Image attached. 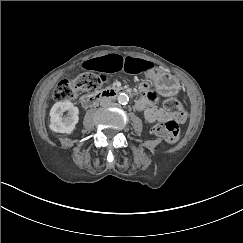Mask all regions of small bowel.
Returning a JSON list of instances; mask_svg holds the SVG:
<instances>
[{
  "instance_id": "small-bowel-1",
  "label": "small bowel",
  "mask_w": 243,
  "mask_h": 243,
  "mask_svg": "<svg viewBox=\"0 0 243 243\" xmlns=\"http://www.w3.org/2000/svg\"><path fill=\"white\" fill-rule=\"evenodd\" d=\"M83 68L90 71L109 73L125 71L135 74L148 71L152 65L140 58L109 54L84 62ZM139 89L142 92V98L137 102L136 107L144 113L145 119L150 123L167 119L165 111L157 106V97L149 85L141 83Z\"/></svg>"
}]
</instances>
